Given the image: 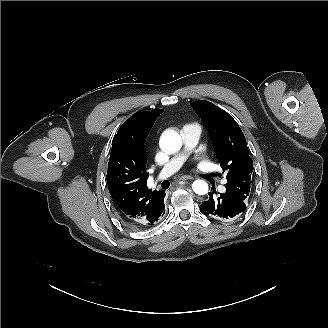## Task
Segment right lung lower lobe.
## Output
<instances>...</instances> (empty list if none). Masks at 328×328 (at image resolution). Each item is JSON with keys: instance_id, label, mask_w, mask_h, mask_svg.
Segmentation results:
<instances>
[{"instance_id": "98d812e1", "label": "right lung lower lobe", "mask_w": 328, "mask_h": 328, "mask_svg": "<svg viewBox=\"0 0 328 328\" xmlns=\"http://www.w3.org/2000/svg\"><path fill=\"white\" fill-rule=\"evenodd\" d=\"M164 196H165V192L163 193V195L161 196V199H160V202H159V205H158V210H157V214H156V219L153 221V223H149V224H146L144 226H138V227H146V226H149V225H152L154 224L155 222L158 221V219L160 218V216L162 215L163 211H164ZM122 218V217H121ZM123 219V218H122ZM126 219H123L124 222ZM127 223V222H126ZM128 225L131 226V224L127 223Z\"/></svg>"}]
</instances>
